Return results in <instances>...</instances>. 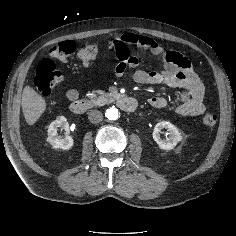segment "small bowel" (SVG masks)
Masks as SVG:
<instances>
[{
	"label": "small bowel",
	"mask_w": 236,
	"mask_h": 236,
	"mask_svg": "<svg viewBox=\"0 0 236 236\" xmlns=\"http://www.w3.org/2000/svg\"><path fill=\"white\" fill-rule=\"evenodd\" d=\"M117 47L116 56L118 64L115 74L120 77L127 67L138 66V58L129 51V46L134 45L148 51L160 58L163 69L161 71H144L137 69L133 73V80L138 84H163L171 88L181 90L179 103L175 106L177 114L184 117H194L202 114L206 106L204 104V86L193 70L191 62L182 54L165 50L154 39L134 33L123 34L114 40ZM68 100H76L78 92L70 89L66 92ZM154 108L169 107V102L161 96H153L148 100Z\"/></svg>",
	"instance_id": "c3829d8e"
}]
</instances>
